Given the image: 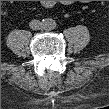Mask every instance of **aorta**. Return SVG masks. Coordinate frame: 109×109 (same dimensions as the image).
I'll return each mask as SVG.
<instances>
[{
  "mask_svg": "<svg viewBox=\"0 0 109 109\" xmlns=\"http://www.w3.org/2000/svg\"><path fill=\"white\" fill-rule=\"evenodd\" d=\"M56 25V21L52 18H48L44 21V28L47 30H53Z\"/></svg>",
  "mask_w": 109,
  "mask_h": 109,
  "instance_id": "1",
  "label": "aorta"
}]
</instances>
